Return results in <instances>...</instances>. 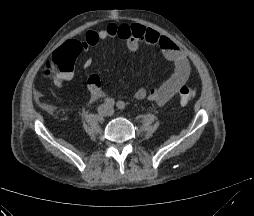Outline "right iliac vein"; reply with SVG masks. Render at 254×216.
<instances>
[{
	"mask_svg": "<svg viewBox=\"0 0 254 216\" xmlns=\"http://www.w3.org/2000/svg\"><path fill=\"white\" fill-rule=\"evenodd\" d=\"M98 112L102 116L105 115L108 112V106L107 105L100 106Z\"/></svg>",
	"mask_w": 254,
	"mask_h": 216,
	"instance_id": "1",
	"label": "right iliac vein"
}]
</instances>
